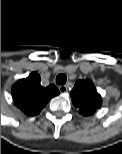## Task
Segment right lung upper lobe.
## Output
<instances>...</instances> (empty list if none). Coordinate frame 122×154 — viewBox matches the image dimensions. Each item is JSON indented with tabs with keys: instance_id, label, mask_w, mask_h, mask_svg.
Returning a JSON list of instances; mask_svg holds the SVG:
<instances>
[{
	"instance_id": "obj_1",
	"label": "right lung upper lobe",
	"mask_w": 122,
	"mask_h": 154,
	"mask_svg": "<svg viewBox=\"0 0 122 154\" xmlns=\"http://www.w3.org/2000/svg\"><path fill=\"white\" fill-rule=\"evenodd\" d=\"M41 78L37 72H32L27 78L18 80L12 88V97L16 106L27 115H36L47 102L60 92L54 85L42 87Z\"/></svg>"
}]
</instances>
